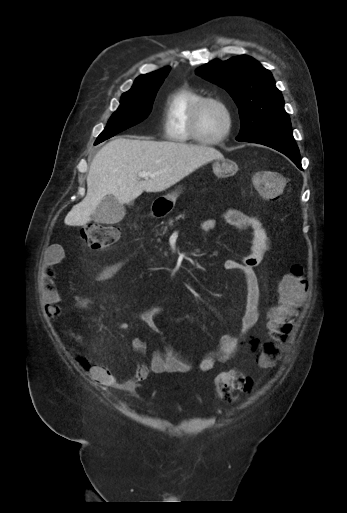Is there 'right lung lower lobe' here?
I'll use <instances>...</instances> for the list:
<instances>
[{
    "mask_svg": "<svg viewBox=\"0 0 347 513\" xmlns=\"http://www.w3.org/2000/svg\"><path fill=\"white\" fill-rule=\"evenodd\" d=\"M98 144V141L95 142V145Z\"/></svg>",
    "mask_w": 347,
    "mask_h": 513,
    "instance_id": "98d812e1",
    "label": "right lung lower lobe"
}]
</instances>
